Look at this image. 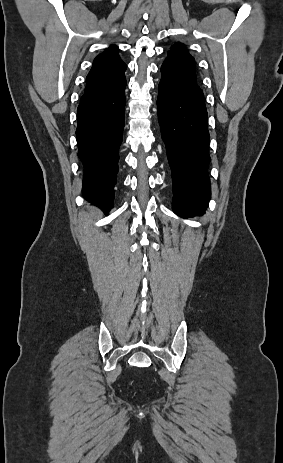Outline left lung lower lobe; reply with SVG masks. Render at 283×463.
I'll return each mask as SVG.
<instances>
[{
	"instance_id": "left-lung-lower-lobe-1",
	"label": "left lung lower lobe",
	"mask_w": 283,
	"mask_h": 463,
	"mask_svg": "<svg viewBox=\"0 0 283 463\" xmlns=\"http://www.w3.org/2000/svg\"><path fill=\"white\" fill-rule=\"evenodd\" d=\"M158 86V120L173 180L177 215L202 213L208 206L209 132L204 95L197 80L165 60Z\"/></svg>"
}]
</instances>
